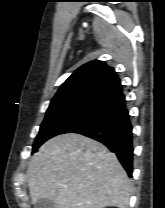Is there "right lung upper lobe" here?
Instances as JSON below:
<instances>
[{"label":"right lung upper lobe","mask_w":165,"mask_h":208,"mask_svg":"<svg viewBox=\"0 0 165 208\" xmlns=\"http://www.w3.org/2000/svg\"><path fill=\"white\" fill-rule=\"evenodd\" d=\"M121 90L120 80L113 68L103 61H91L77 69L62 84L50 106H95Z\"/></svg>","instance_id":"cb5924a9"}]
</instances>
